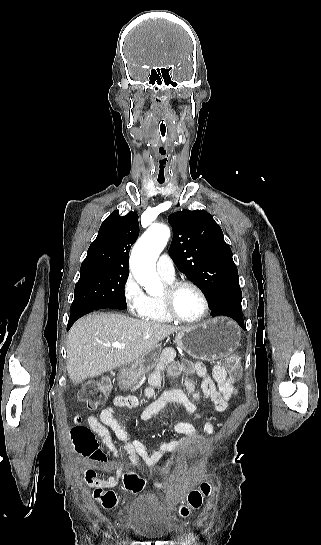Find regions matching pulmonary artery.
Masks as SVG:
<instances>
[{
	"instance_id": "1",
	"label": "pulmonary artery",
	"mask_w": 321,
	"mask_h": 545,
	"mask_svg": "<svg viewBox=\"0 0 321 545\" xmlns=\"http://www.w3.org/2000/svg\"><path fill=\"white\" fill-rule=\"evenodd\" d=\"M157 271L164 279L173 280L175 278L174 263L167 253H163L158 258Z\"/></svg>"
}]
</instances>
